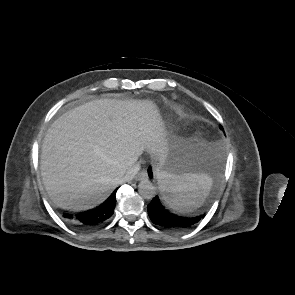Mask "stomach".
Returning a JSON list of instances; mask_svg holds the SVG:
<instances>
[{
  "mask_svg": "<svg viewBox=\"0 0 295 295\" xmlns=\"http://www.w3.org/2000/svg\"><path fill=\"white\" fill-rule=\"evenodd\" d=\"M209 149L210 147L202 141H186L168 154L166 159L158 165L157 172L175 176L207 174L209 167L205 155ZM165 195L163 194V197Z\"/></svg>",
  "mask_w": 295,
  "mask_h": 295,
  "instance_id": "0dacf381",
  "label": "stomach"
}]
</instances>
